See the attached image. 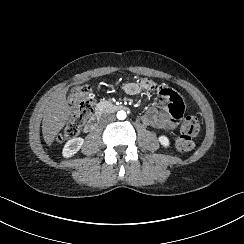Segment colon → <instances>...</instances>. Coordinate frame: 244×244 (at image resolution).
Returning <instances> with one entry per match:
<instances>
[{"mask_svg":"<svg viewBox=\"0 0 244 244\" xmlns=\"http://www.w3.org/2000/svg\"><path fill=\"white\" fill-rule=\"evenodd\" d=\"M80 90L83 91L85 96L81 100H76L73 97L71 98L70 102L74 107V112L63 129L64 137L76 135L93 110L94 101L91 90L88 86H83ZM199 130L200 124L198 119L194 116H186L180 126L179 135L175 140L178 149L183 152L192 151L195 147V137ZM59 139H61V137H59Z\"/></svg>","mask_w":244,"mask_h":244,"instance_id":"5ec220e1","label":"colon"}]
</instances>
